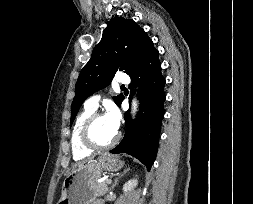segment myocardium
<instances>
[{"instance_id":"f54148a6","label":"myocardium","mask_w":253,"mask_h":204,"mask_svg":"<svg viewBox=\"0 0 253 204\" xmlns=\"http://www.w3.org/2000/svg\"><path fill=\"white\" fill-rule=\"evenodd\" d=\"M104 116L101 112L92 113L84 122L81 129V141L83 145L92 151H103L112 148L120 139V133L117 132L114 138L107 144L100 145L94 141L91 135L92 128L98 118Z\"/></svg>"}]
</instances>
